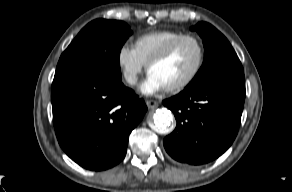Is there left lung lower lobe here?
<instances>
[{"mask_svg": "<svg viewBox=\"0 0 292 192\" xmlns=\"http://www.w3.org/2000/svg\"><path fill=\"white\" fill-rule=\"evenodd\" d=\"M245 100V80L222 79L185 88L163 104L177 120L164 139L167 153L192 165L222 155L233 143Z\"/></svg>", "mask_w": 292, "mask_h": 192, "instance_id": "1", "label": "left lung lower lobe"}]
</instances>
